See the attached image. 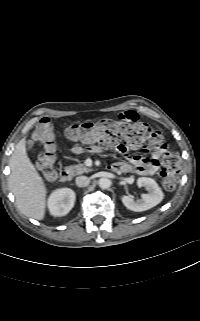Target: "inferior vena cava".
Returning a JSON list of instances; mask_svg holds the SVG:
<instances>
[{"mask_svg":"<svg viewBox=\"0 0 200 321\" xmlns=\"http://www.w3.org/2000/svg\"><path fill=\"white\" fill-rule=\"evenodd\" d=\"M90 183V179L86 176H78L76 178V185L78 187H86L88 186Z\"/></svg>","mask_w":200,"mask_h":321,"instance_id":"1","label":"inferior vena cava"}]
</instances>
